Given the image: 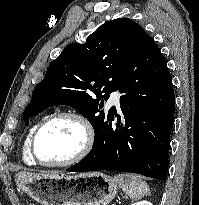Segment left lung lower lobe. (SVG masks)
Returning <instances> with one entry per match:
<instances>
[{"instance_id": "left-lung-lower-lobe-1", "label": "left lung lower lobe", "mask_w": 199, "mask_h": 205, "mask_svg": "<svg viewBox=\"0 0 199 205\" xmlns=\"http://www.w3.org/2000/svg\"><path fill=\"white\" fill-rule=\"evenodd\" d=\"M119 92L123 122L113 106V118L95 137L92 150L67 171L132 172L165 181L174 91L167 63L147 33L127 66ZM114 116L116 128H112Z\"/></svg>"}]
</instances>
